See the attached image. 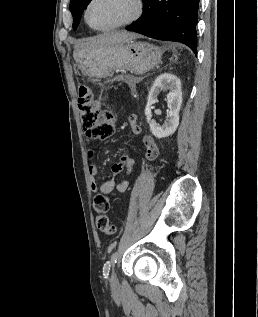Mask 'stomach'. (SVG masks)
Wrapping results in <instances>:
<instances>
[{"mask_svg": "<svg viewBox=\"0 0 258 317\" xmlns=\"http://www.w3.org/2000/svg\"><path fill=\"white\" fill-rule=\"evenodd\" d=\"M164 50L141 40L126 44H108L90 50H74L73 58L80 70L89 76H109L113 70H130L144 74L161 62Z\"/></svg>", "mask_w": 258, "mask_h": 317, "instance_id": "1", "label": "stomach"}]
</instances>
